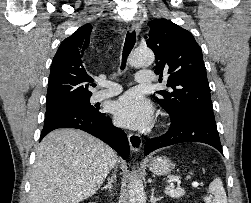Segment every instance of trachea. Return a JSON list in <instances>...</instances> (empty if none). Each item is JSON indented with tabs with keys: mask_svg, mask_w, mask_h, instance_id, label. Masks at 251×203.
<instances>
[{
	"mask_svg": "<svg viewBox=\"0 0 251 203\" xmlns=\"http://www.w3.org/2000/svg\"><path fill=\"white\" fill-rule=\"evenodd\" d=\"M136 42V33L135 31L133 32H128L126 35L125 43H124V48H123V54H122V66L121 69L124 70L126 66V59L128 55L130 54L131 50L133 49L134 45Z\"/></svg>",
	"mask_w": 251,
	"mask_h": 203,
	"instance_id": "trachea-1",
	"label": "trachea"
}]
</instances>
